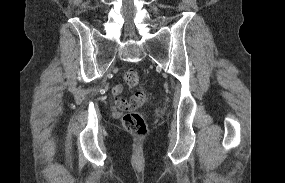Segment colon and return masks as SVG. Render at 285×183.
<instances>
[{"label":"colon","mask_w":285,"mask_h":183,"mask_svg":"<svg viewBox=\"0 0 285 183\" xmlns=\"http://www.w3.org/2000/svg\"><path fill=\"white\" fill-rule=\"evenodd\" d=\"M124 81L126 84L134 88L139 84V76L138 73L129 69L124 73ZM146 100V94L143 90L138 91L129 101L127 106V111L124 113L122 117V123L124 128L132 134L143 136L147 133V126L144 120L143 115L136 111L132 110L142 104Z\"/></svg>","instance_id":"obj_1"}]
</instances>
